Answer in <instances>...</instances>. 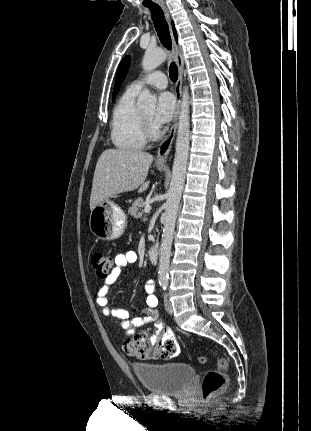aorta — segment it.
Returning a JSON list of instances; mask_svg holds the SVG:
<instances>
[{"label":"aorta","mask_w":311,"mask_h":431,"mask_svg":"<svg viewBox=\"0 0 311 431\" xmlns=\"http://www.w3.org/2000/svg\"><path fill=\"white\" fill-rule=\"evenodd\" d=\"M167 58L168 54L165 52V50H160V48H147L142 60V68L145 74H148V72H152V70L158 68V66L163 64ZM156 104L157 98L155 94H151L149 90H143V92H141L137 98L138 108H144V110H147V108L148 110H155ZM189 110V92L188 88H184L183 102L179 114V124L175 144V158L172 166V178L169 186L168 198L165 204L166 216L159 249V281H168L167 275L170 263L173 233L185 184L189 156Z\"/></svg>","instance_id":"aorta-1"}]
</instances>
